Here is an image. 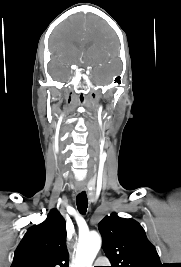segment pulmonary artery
I'll return each instance as SVG.
<instances>
[{
    "instance_id": "1",
    "label": "pulmonary artery",
    "mask_w": 181,
    "mask_h": 267,
    "mask_svg": "<svg viewBox=\"0 0 181 267\" xmlns=\"http://www.w3.org/2000/svg\"><path fill=\"white\" fill-rule=\"evenodd\" d=\"M102 263L100 262V260L99 261H97L96 263H95V266H100Z\"/></svg>"
}]
</instances>
